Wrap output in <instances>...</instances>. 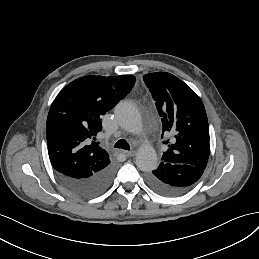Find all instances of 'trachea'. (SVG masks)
<instances>
[{"instance_id":"3493384b","label":"trachea","mask_w":259,"mask_h":259,"mask_svg":"<svg viewBox=\"0 0 259 259\" xmlns=\"http://www.w3.org/2000/svg\"><path fill=\"white\" fill-rule=\"evenodd\" d=\"M115 148H122L124 150H130V145L124 139L117 141L114 145Z\"/></svg>"}]
</instances>
